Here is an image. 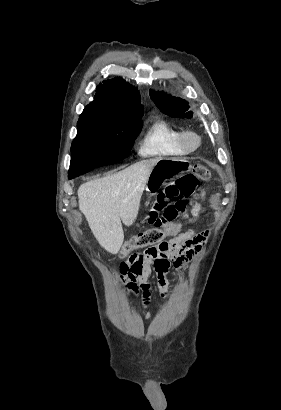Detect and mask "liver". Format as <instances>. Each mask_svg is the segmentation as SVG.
I'll return each instance as SVG.
<instances>
[{
  "instance_id": "1",
  "label": "liver",
  "mask_w": 281,
  "mask_h": 410,
  "mask_svg": "<svg viewBox=\"0 0 281 410\" xmlns=\"http://www.w3.org/2000/svg\"><path fill=\"white\" fill-rule=\"evenodd\" d=\"M158 159L142 160L78 189L80 211L99 244L111 254H117L124 241L121 221L131 226L137 218L148 176Z\"/></svg>"
}]
</instances>
